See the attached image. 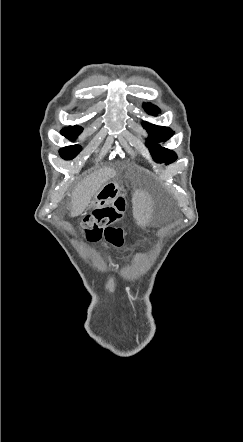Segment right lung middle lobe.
<instances>
[{
  "instance_id": "1",
  "label": "right lung middle lobe",
  "mask_w": 243,
  "mask_h": 442,
  "mask_svg": "<svg viewBox=\"0 0 243 442\" xmlns=\"http://www.w3.org/2000/svg\"><path fill=\"white\" fill-rule=\"evenodd\" d=\"M83 128L80 126H70L66 127L61 131V134L66 138L73 140L82 132ZM81 151L79 145L67 146L60 150V155L63 159L70 160L76 157V155Z\"/></svg>"
}]
</instances>
